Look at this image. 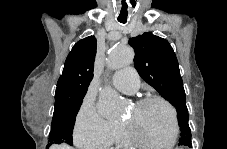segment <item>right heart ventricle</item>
<instances>
[{"label":"right heart ventricle","instance_id":"e07e8e85","mask_svg":"<svg viewBox=\"0 0 227 149\" xmlns=\"http://www.w3.org/2000/svg\"><path fill=\"white\" fill-rule=\"evenodd\" d=\"M117 144L119 146H123V147L138 145L130 138L125 127H123L122 125H121V130H120L119 136L117 138Z\"/></svg>","mask_w":227,"mask_h":149}]
</instances>
